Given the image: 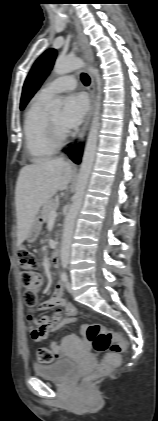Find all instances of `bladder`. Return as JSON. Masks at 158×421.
<instances>
[{"label": "bladder", "mask_w": 158, "mask_h": 421, "mask_svg": "<svg viewBox=\"0 0 158 421\" xmlns=\"http://www.w3.org/2000/svg\"><path fill=\"white\" fill-rule=\"evenodd\" d=\"M76 368V363L70 358H60L48 364H35L33 371L36 376L61 381L69 377Z\"/></svg>", "instance_id": "31cf9c89"}]
</instances>
